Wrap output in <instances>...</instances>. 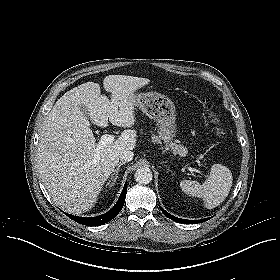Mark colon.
I'll list each match as a JSON object with an SVG mask.
<instances>
[{"instance_id":"1","label":"colon","mask_w":280,"mask_h":280,"mask_svg":"<svg viewBox=\"0 0 280 280\" xmlns=\"http://www.w3.org/2000/svg\"><path fill=\"white\" fill-rule=\"evenodd\" d=\"M208 118H209L210 122L216 126L215 135L219 138L223 137L225 132L221 127L217 126L218 122H219L217 115L214 114L213 112H211V113H209Z\"/></svg>"}]
</instances>
